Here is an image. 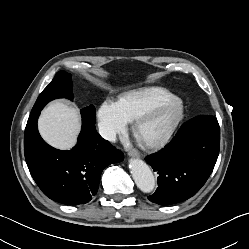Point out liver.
Here are the masks:
<instances>
[{"label":"liver","mask_w":249,"mask_h":249,"mask_svg":"<svg viewBox=\"0 0 249 249\" xmlns=\"http://www.w3.org/2000/svg\"><path fill=\"white\" fill-rule=\"evenodd\" d=\"M38 128L42 138L51 146L71 149L81 129L79 111L62 100L53 101L43 109Z\"/></svg>","instance_id":"liver-1"}]
</instances>
